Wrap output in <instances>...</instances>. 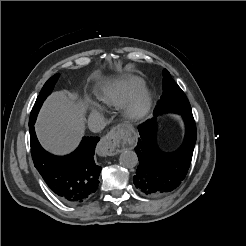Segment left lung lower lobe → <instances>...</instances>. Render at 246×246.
<instances>
[{
  "label": "left lung lower lobe",
  "mask_w": 246,
  "mask_h": 246,
  "mask_svg": "<svg viewBox=\"0 0 246 246\" xmlns=\"http://www.w3.org/2000/svg\"><path fill=\"white\" fill-rule=\"evenodd\" d=\"M159 112L155 108L154 116ZM185 122V137L182 145L172 153L162 152L156 144V119L152 118L139 125L140 137L135 151L139 165L134 184L143 194L151 197L165 195L176 189L189 169L197 132L192 111L181 114Z\"/></svg>",
  "instance_id": "left-lung-lower-lobe-1"
}]
</instances>
